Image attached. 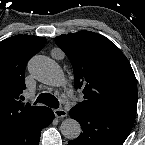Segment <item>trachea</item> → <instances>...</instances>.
Returning a JSON list of instances; mask_svg holds the SVG:
<instances>
[{
    "label": "trachea",
    "mask_w": 145,
    "mask_h": 145,
    "mask_svg": "<svg viewBox=\"0 0 145 145\" xmlns=\"http://www.w3.org/2000/svg\"><path fill=\"white\" fill-rule=\"evenodd\" d=\"M43 103L51 108H58L59 107V102L56 97L49 93H42L38 96L37 100L35 101L36 103Z\"/></svg>",
    "instance_id": "3493384b"
}]
</instances>
